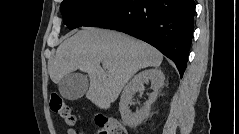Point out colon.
I'll return each mask as SVG.
<instances>
[{
  "instance_id": "obj_1",
  "label": "colon",
  "mask_w": 239,
  "mask_h": 134,
  "mask_svg": "<svg viewBox=\"0 0 239 134\" xmlns=\"http://www.w3.org/2000/svg\"><path fill=\"white\" fill-rule=\"evenodd\" d=\"M49 104L51 110L57 113L69 126L75 125L76 118L60 94L52 92ZM97 130L98 134H127L125 126L119 120L104 115L97 119Z\"/></svg>"
}]
</instances>
